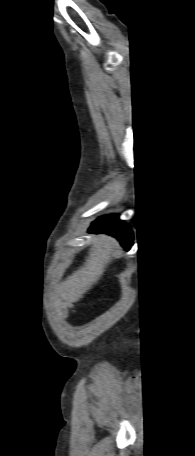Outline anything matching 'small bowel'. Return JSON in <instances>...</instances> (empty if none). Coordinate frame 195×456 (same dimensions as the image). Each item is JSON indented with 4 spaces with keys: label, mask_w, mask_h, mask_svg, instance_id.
<instances>
[{
    "label": "small bowel",
    "mask_w": 195,
    "mask_h": 456,
    "mask_svg": "<svg viewBox=\"0 0 195 456\" xmlns=\"http://www.w3.org/2000/svg\"><path fill=\"white\" fill-rule=\"evenodd\" d=\"M65 313H66L65 311H62V312H61L62 315H65Z\"/></svg>",
    "instance_id": "c3829d8e"
}]
</instances>
